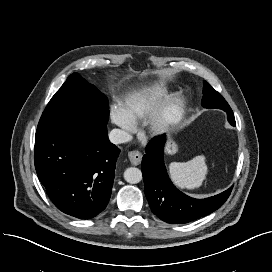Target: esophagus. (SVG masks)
<instances>
[{"instance_id": "obj_1", "label": "esophagus", "mask_w": 272, "mask_h": 272, "mask_svg": "<svg viewBox=\"0 0 272 272\" xmlns=\"http://www.w3.org/2000/svg\"><path fill=\"white\" fill-rule=\"evenodd\" d=\"M128 157H129L130 162L135 166L139 165L141 163L142 154L139 151H136V150L130 151L128 153Z\"/></svg>"}]
</instances>
